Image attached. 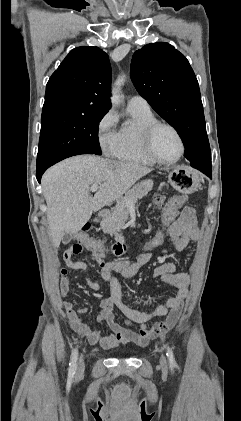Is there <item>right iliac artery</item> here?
<instances>
[{
    "label": "right iliac artery",
    "instance_id": "82829eb1",
    "mask_svg": "<svg viewBox=\"0 0 241 421\" xmlns=\"http://www.w3.org/2000/svg\"><path fill=\"white\" fill-rule=\"evenodd\" d=\"M77 360H78V350H77V348H75L72 352L71 361H70V364H69L68 375H69L70 378H72L74 376L75 372H76Z\"/></svg>",
    "mask_w": 241,
    "mask_h": 421
}]
</instances>
